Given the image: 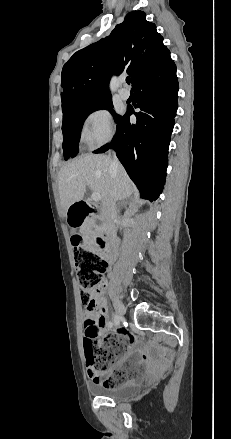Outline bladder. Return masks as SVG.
<instances>
[{"instance_id": "1", "label": "bladder", "mask_w": 231, "mask_h": 439, "mask_svg": "<svg viewBox=\"0 0 231 439\" xmlns=\"http://www.w3.org/2000/svg\"><path fill=\"white\" fill-rule=\"evenodd\" d=\"M127 370L130 372H134L135 374H140L142 370L141 365H133L131 362L127 366ZM92 392L99 396V397H105L110 398L113 400H125L133 398L137 395L140 388L138 386H131V385H118L114 387H107L101 384H94L91 386Z\"/></svg>"}]
</instances>
